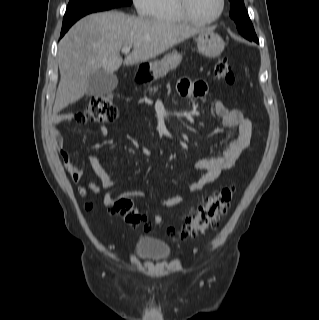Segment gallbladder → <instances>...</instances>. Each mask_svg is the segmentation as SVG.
Instances as JSON below:
<instances>
[{"instance_id":"gallbladder-1","label":"gallbladder","mask_w":319,"mask_h":320,"mask_svg":"<svg viewBox=\"0 0 319 320\" xmlns=\"http://www.w3.org/2000/svg\"><path fill=\"white\" fill-rule=\"evenodd\" d=\"M118 84L116 75L104 69H99L89 76L86 95L100 96L112 92Z\"/></svg>"}]
</instances>
